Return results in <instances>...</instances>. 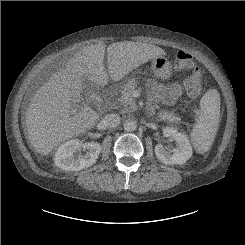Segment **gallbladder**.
Returning <instances> with one entry per match:
<instances>
[{"label":"gallbladder","mask_w":245,"mask_h":245,"mask_svg":"<svg viewBox=\"0 0 245 245\" xmlns=\"http://www.w3.org/2000/svg\"><path fill=\"white\" fill-rule=\"evenodd\" d=\"M92 87V84L89 82H86V88L85 89H90Z\"/></svg>","instance_id":"obj_1"}]
</instances>
